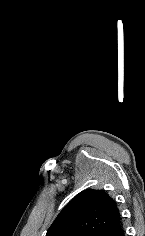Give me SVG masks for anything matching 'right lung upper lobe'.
<instances>
[{
	"instance_id": "1",
	"label": "right lung upper lobe",
	"mask_w": 145,
	"mask_h": 236,
	"mask_svg": "<svg viewBox=\"0 0 145 236\" xmlns=\"http://www.w3.org/2000/svg\"><path fill=\"white\" fill-rule=\"evenodd\" d=\"M119 221L114 200L103 190L87 189L63 208L46 236H98Z\"/></svg>"
}]
</instances>
